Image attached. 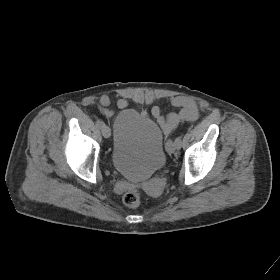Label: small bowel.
Wrapping results in <instances>:
<instances>
[{"mask_svg":"<svg viewBox=\"0 0 280 280\" xmlns=\"http://www.w3.org/2000/svg\"><path fill=\"white\" fill-rule=\"evenodd\" d=\"M111 99L108 94H104L99 99L101 111L106 116H112L113 110L110 108ZM171 104L178 108L177 112L163 116L158 106L152 108V115L157 120L166 135H170L181 122H192L198 119L199 109L197 103L186 96H175L171 99ZM117 106L123 109L128 106L125 99H119Z\"/></svg>","mask_w":280,"mask_h":280,"instance_id":"obj_1","label":"small bowel"}]
</instances>
